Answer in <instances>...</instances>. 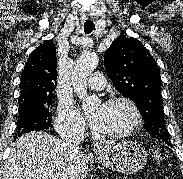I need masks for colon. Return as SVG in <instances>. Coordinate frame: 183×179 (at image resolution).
Returning a JSON list of instances; mask_svg holds the SVG:
<instances>
[{
    "mask_svg": "<svg viewBox=\"0 0 183 179\" xmlns=\"http://www.w3.org/2000/svg\"><path fill=\"white\" fill-rule=\"evenodd\" d=\"M154 158H155L157 161H160V159H161L160 153L157 152V151H155V152H154ZM164 179H170V178L165 177Z\"/></svg>",
    "mask_w": 183,
    "mask_h": 179,
    "instance_id": "obj_1",
    "label": "colon"
}]
</instances>
